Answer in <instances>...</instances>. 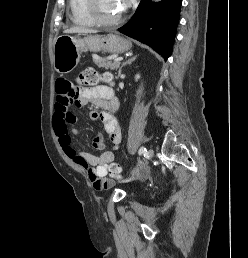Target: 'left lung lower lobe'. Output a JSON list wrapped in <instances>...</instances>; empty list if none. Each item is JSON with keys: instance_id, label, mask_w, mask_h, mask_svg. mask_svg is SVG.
I'll return each mask as SVG.
<instances>
[{"instance_id": "0a47b994", "label": "left lung lower lobe", "mask_w": 248, "mask_h": 258, "mask_svg": "<svg viewBox=\"0 0 248 258\" xmlns=\"http://www.w3.org/2000/svg\"><path fill=\"white\" fill-rule=\"evenodd\" d=\"M182 0H141L134 16L118 30L170 57Z\"/></svg>"}]
</instances>
